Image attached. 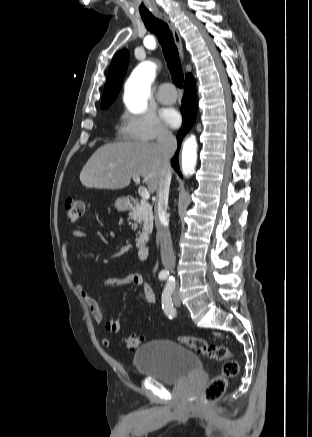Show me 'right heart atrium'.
<instances>
[{
    "label": "right heart atrium",
    "instance_id": "obj_1",
    "mask_svg": "<svg viewBox=\"0 0 312 437\" xmlns=\"http://www.w3.org/2000/svg\"><path fill=\"white\" fill-rule=\"evenodd\" d=\"M117 134L121 140L150 142L171 139V133L153 112H123L119 118Z\"/></svg>",
    "mask_w": 312,
    "mask_h": 437
}]
</instances>
